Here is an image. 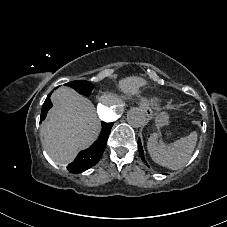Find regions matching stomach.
<instances>
[{
	"instance_id": "0dacf381",
	"label": "stomach",
	"mask_w": 227,
	"mask_h": 227,
	"mask_svg": "<svg viewBox=\"0 0 227 227\" xmlns=\"http://www.w3.org/2000/svg\"><path fill=\"white\" fill-rule=\"evenodd\" d=\"M169 121V115L165 112L160 113L157 117H156V124L158 126H163L165 124H167Z\"/></svg>"
}]
</instances>
